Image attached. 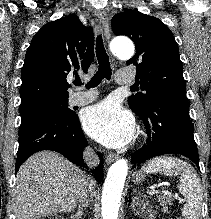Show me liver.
Instances as JSON below:
<instances>
[{
  "label": "liver",
  "instance_id": "6515ba94",
  "mask_svg": "<svg viewBox=\"0 0 211 219\" xmlns=\"http://www.w3.org/2000/svg\"><path fill=\"white\" fill-rule=\"evenodd\" d=\"M88 188L86 174L52 151L33 154L17 173L13 198L16 219H39L70 212ZM92 194H95L94 185Z\"/></svg>",
  "mask_w": 211,
  "mask_h": 219
}]
</instances>
